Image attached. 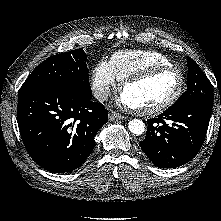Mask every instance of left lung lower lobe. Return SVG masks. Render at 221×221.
Returning a JSON list of instances; mask_svg holds the SVG:
<instances>
[{
	"mask_svg": "<svg viewBox=\"0 0 221 221\" xmlns=\"http://www.w3.org/2000/svg\"><path fill=\"white\" fill-rule=\"evenodd\" d=\"M212 107L213 102L191 101L149 119L141 149L160 168L189 162L204 142Z\"/></svg>",
	"mask_w": 221,
	"mask_h": 221,
	"instance_id": "1",
	"label": "left lung lower lobe"
}]
</instances>
